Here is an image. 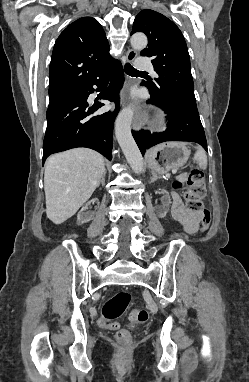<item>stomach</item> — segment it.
<instances>
[{
	"mask_svg": "<svg viewBox=\"0 0 249 382\" xmlns=\"http://www.w3.org/2000/svg\"><path fill=\"white\" fill-rule=\"evenodd\" d=\"M190 156V150L182 142H166L151 148L147 154L150 169L165 174L171 169L184 166Z\"/></svg>",
	"mask_w": 249,
	"mask_h": 382,
	"instance_id": "1",
	"label": "stomach"
}]
</instances>
